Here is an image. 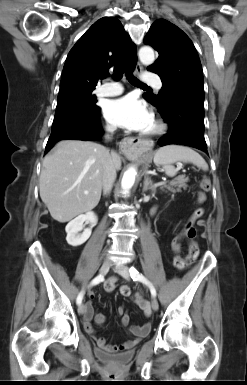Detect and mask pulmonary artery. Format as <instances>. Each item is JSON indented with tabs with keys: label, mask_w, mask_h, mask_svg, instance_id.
<instances>
[{
	"label": "pulmonary artery",
	"mask_w": 247,
	"mask_h": 385,
	"mask_svg": "<svg viewBox=\"0 0 247 385\" xmlns=\"http://www.w3.org/2000/svg\"><path fill=\"white\" fill-rule=\"evenodd\" d=\"M143 80L146 83L154 85L156 89L160 90L162 88V82L160 78L156 75L146 74L143 77ZM122 91H123V88L119 83L109 82L100 86L97 90V93L100 96H115L122 93Z\"/></svg>",
	"instance_id": "1"
}]
</instances>
